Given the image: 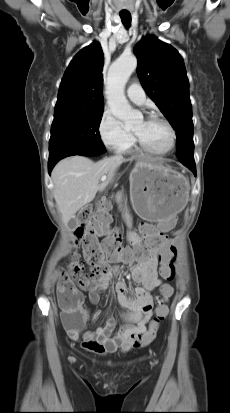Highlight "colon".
Here are the masks:
<instances>
[{
    "mask_svg": "<svg viewBox=\"0 0 230 413\" xmlns=\"http://www.w3.org/2000/svg\"><path fill=\"white\" fill-rule=\"evenodd\" d=\"M100 199L102 201L99 202L95 211L91 207H85L78 212V226L75 229L74 244L82 247L84 260L90 265L91 273L90 275L84 273V261L74 253L71 255L70 262L59 282V302L65 311L71 313L74 324L81 321V314L78 310L79 296L72 292L70 285L84 286L89 280L100 283L109 269L107 263L109 258H120L125 262H133L142 261L158 254L161 265L157 266V273L168 281H172L175 277L174 262L177 250L174 244L165 241L162 233L146 241L145 245L130 249L121 248V230L113 228L102 243H98L97 237L103 234L111 222L109 206L104 202L109 199V194L102 192ZM167 300L162 296L158 298L156 315L148 330L134 338L128 349L144 346L155 338L159 323L168 313Z\"/></svg>",
    "mask_w": 230,
    "mask_h": 413,
    "instance_id": "obj_1",
    "label": "colon"
}]
</instances>
